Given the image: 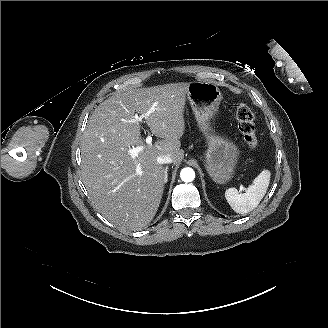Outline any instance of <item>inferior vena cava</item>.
<instances>
[{
	"instance_id": "1",
	"label": "inferior vena cava",
	"mask_w": 328,
	"mask_h": 328,
	"mask_svg": "<svg viewBox=\"0 0 328 328\" xmlns=\"http://www.w3.org/2000/svg\"><path fill=\"white\" fill-rule=\"evenodd\" d=\"M159 164H170L172 163V158L170 155H161L157 158Z\"/></svg>"
}]
</instances>
